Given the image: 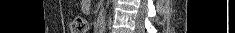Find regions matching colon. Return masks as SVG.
Here are the masks:
<instances>
[{
	"mask_svg": "<svg viewBox=\"0 0 235 33\" xmlns=\"http://www.w3.org/2000/svg\"><path fill=\"white\" fill-rule=\"evenodd\" d=\"M69 27L71 33H86L88 31V21L81 15H75L70 19Z\"/></svg>",
	"mask_w": 235,
	"mask_h": 33,
	"instance_id": "obj_1",
	"label": "colon"
}]
</instances>
